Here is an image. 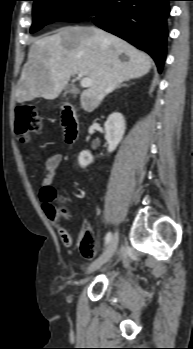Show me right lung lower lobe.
<instances>
[{
    "instance_id": "obj_1",
    "label": "right lung lower lobe",
    "mask_w": 193,
    "mask_h": 349,
    "mask_svg": "<svg viewBox=\"0 0 193 349\" xmlns=\"http://www.w3.org/2000/svg\"><path fill=\"white\" fill-rule=\"evenodd\" d=\"M171 0H100L89 16L93 23L115 34L155 60L161 72L166 54V18Z\"/></svg>"
}]
</instances>
